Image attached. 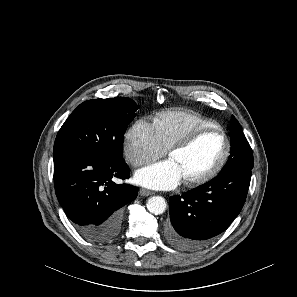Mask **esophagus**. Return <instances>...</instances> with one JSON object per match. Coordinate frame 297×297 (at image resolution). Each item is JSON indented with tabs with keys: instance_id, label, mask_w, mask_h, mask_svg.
I'll return each instance as SVG.
<instances>
[{
	"instance_id": "esophagus-1",
	"label": "esophagus",
	"mask_w": 297,
	"mask_h": 297,
	"mask_svg": "<svg viewBox=\"0 0 297 297\" xmlns=\"http://www.w3.org/2000/svg\"><path fill=\"white\" fill-rule=\"evenodd\" d=\"M153 193L149 190H146V189H140L139 190V195L141 196H149V195H152Z\"/></svg>"
}]
</instances>
